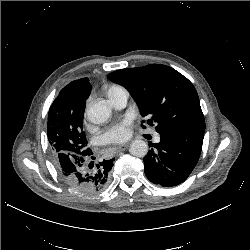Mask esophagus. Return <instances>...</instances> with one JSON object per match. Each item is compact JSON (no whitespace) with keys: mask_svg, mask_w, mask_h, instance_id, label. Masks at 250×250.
Returning a JSON list of instances; mask_svg holds the SVG:
<instances>
[{"mask_svg":"<svg viewBox=\"0 0 250 250\" xmlns=\"http://www.w3.org/2000/svg\"><path fill=\"white\" fill-rule=\"evenodd\" d=\"M129 144H122L116 147V150L119 151H124L128 148Z\"/></svg>","mask_w":250,"mask_h":250,"instance_id":"34e87169","label":"esophagus"}]
</instances>
